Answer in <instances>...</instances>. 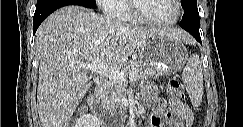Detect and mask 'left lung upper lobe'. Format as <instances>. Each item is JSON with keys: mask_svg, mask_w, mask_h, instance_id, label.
Masks as SVG:
<instances>
[{"mask_svg": "<svg viewBox=\"0 0 243 127\" xmlns=\"http://www.w3.org/2000/svg\"><path fill=\"white\" fill-rule=\"evenodd\" d=\"M181 5L185 11L197 10V0H181Z\"/></svg>", "mask_w": 243, "mask_h": 127, "instance_id": "left-lung-upper-lobe-1", "label": "left lung upper lobe"}]
</instances>
